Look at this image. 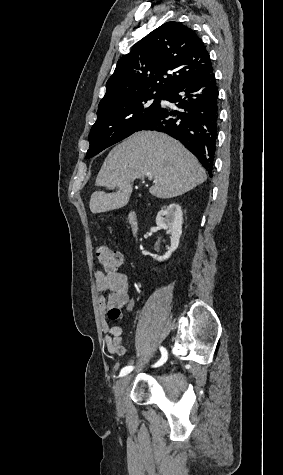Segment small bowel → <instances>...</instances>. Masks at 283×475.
I'll return each instance as SVG.
<instances>
[{"label":"small bowel","instance_id":"c3829d8e","mask_svg":"<svg viewBox=\"0 0 283 475\" xmlns=\"http://www.w3.org/2000/svg\"><path fill=\"white\" fill-rule=\"evenodd\" d=\"M95 289L98 294L97 306L104 342L108 353L124 356L123 324L120 309L133 311L135 302L130 296V285L126 276L118 271H96Z\"/></svg>","mask_w":283,"mask_h":475}]
</instances>
